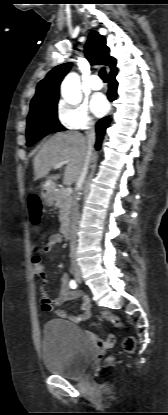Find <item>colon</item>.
<instances>
[{
    "mask_svg": "<svg viewBox=\"0 0 168 415\" xmlns=\"http://www.w3.org/2000/svg\"><path fill=\"white\" fill-rule=\"evenodd\" d=\"M29 214L30 219L33 224L38 223L40 219V201L36 196H32L29 199ZM45 261L42 255H33L32 256V273L37 279H44L46 276L45 270ZM101 317L107 321H110L118 328H122L125 326L124 322L117 316L110 312L104 311L101 313ZM90 339L94 342L96 347L101 350L105 351L111 348L114 344V337L109 335L106 339H101L96 337L93 333H89ZM136 348V340L133 337H126L123 341V349L128 352H134Z\"/></svg>",
    "mask_w": 168,
    "mask_h": 415,
    "instance_id": "colon-1",
    "label": "colon"
}]
</instances>
